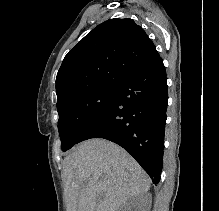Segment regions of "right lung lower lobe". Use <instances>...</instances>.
I'll return each mask as SVG.
<instances>
[{"label":"right lung lower lobe","instance_id":"1","mask_svg":"<svg viewBox=\"0 0 219 211\" xmlns=\"http://www.w3.org/2000/svg\"><path fill=\"white\" fill-rule=\"evenodd\" d=\"M115 89L112 101L83 131L77 143L104 138L120 145L158 184L168 104L161 57L127 75Z\"/></svg>","mask_w":219,"mask_h":211}]
</instances>
